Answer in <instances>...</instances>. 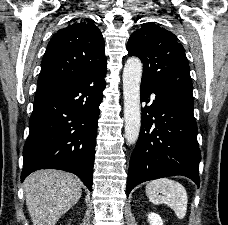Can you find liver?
<instances>
[{
	"instance_id": "1",
	"label": "liver",
	"mask_w": 228,
	"mask_h": 225,
	"mask_svg": "<svg viewBox=\"0 0 228 225\" xmlns=\"http://www.w3.org/2000/svg\"><path fill=\"white\" fill-rule=\"evenodd\" d=\"M33 225H56L82 195V183L72 173L36 171L23 183Z\"/></svg>"
}]
</instances>
